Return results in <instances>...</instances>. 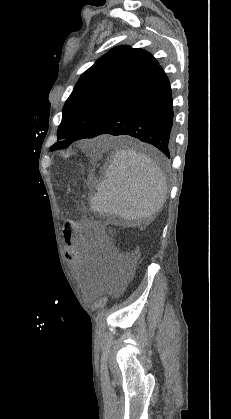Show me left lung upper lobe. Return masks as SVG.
I'll list each match as a JSON object with an SVG mask.
<instances>
[{"mask_svg": "<svg viewBox=\"0 0 231 419\" xmlns=\"http://www.w3.org/2000/svg\"><path fill=\"white\" fill-rule=\"evenodd\" d=\"M157 66L149 52L130 46L115 47L99 58L82 74L67 99L58 128L60 141L50 150L67 148L89 137Z\"/></svg>", "mask_w": 231, "mask_h": 419, "instance_id": "5c2ea615", "label": "left lung upper lobe"}]
</instances>
